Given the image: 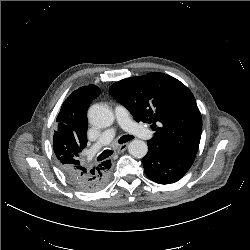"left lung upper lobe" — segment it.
<instances>
[{"mask_svg":"<svg viewBox=\"0 0 250 250\" xmlns=\"http://www.w3.org/2000/svg\"><path fill=\"white\" fill-rule=\"evenodd\" d=\"M109 91L138 122L152 123L155 134L149 141L172 151L197 153L202 118L193 94L179 80L154 72L118 81Z\"/></svg>","mask_w":250,"mask_h":250,"instance_id":"left-lung-upper-lobe-1","label":"left lung upper lobe"}]
</instances>
